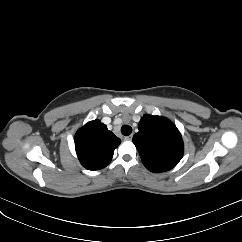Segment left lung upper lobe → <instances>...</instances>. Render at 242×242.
Masks as SVG:
<instances>
[{
  "instance_id": "1",
  "label": "left lung upper lobe",
  "mask_w": 242,
  "mask_h": 242,
  "mask_svg": "<svg viewBox=\"0 0 242 242\" xmlns=\"http://www.w3.org/2000/svg\"><path fill=\"white\" fill-rule=\"evenodd\" d=\"M133 136L144 166L152 172L175 167L183 156V141L177 127L161 116L144 115Z\"/></svg>"
}]
</instances>
